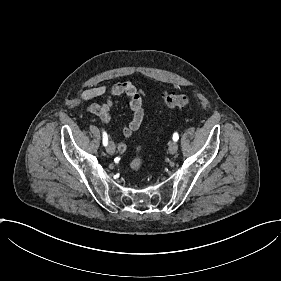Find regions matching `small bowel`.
<instances>
[{"label": "small bowel", "mask_w": 281, "mask_h": 281, "mask_svg": "<svg viewBox=\"0 0 281 281\" xmlns=\"http://www.w3.org/2000/svg\"><path fill=\"white\" fill-rule=\"evenodd\" d=\"M104 95H108V100L104 104H89L86 107V111L108 124L111 121L110 108L113 99L119 96L125 97L128 100L129 107L132 111V119L129 126L123 129V136L130 138L132 133L141 126L144 118L142 91L129 82H118L109 90L105 85L87 89L83 92L81 98L82 101L86 103L94 98ZM117 147L121 152L125 151L127 148L126 144L123 142H120Z\"/></svg>", "instance_id": "small-bowel-1"}]
</instances>
